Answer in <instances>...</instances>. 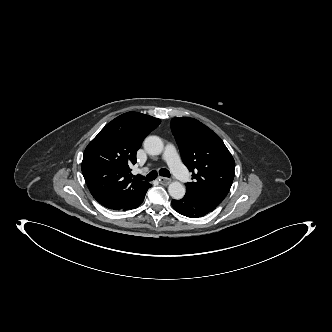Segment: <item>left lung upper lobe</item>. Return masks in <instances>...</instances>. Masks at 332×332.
Segmentation results:
<instances>
[{"instance_id": "5c2ea615", "label": "left lung upper lobe", "mask_w": 332, "mask_h": 332, "mask_svg": "<svg viewBox=\"0 0 332 332\" xmlns=\"http://www.w3.org/2000/svg\"><path fill=\"white\" fill-rule=\"evenodd\" d=\"M171 130L184 164L193 172L194 181L186 183V194L216 208L233 182L232 155L220 137L196 119L173 118Z\"/></svg>"}]
</instances>
